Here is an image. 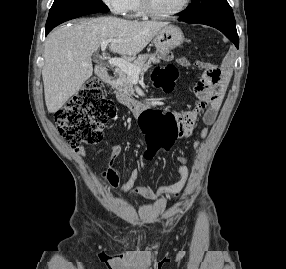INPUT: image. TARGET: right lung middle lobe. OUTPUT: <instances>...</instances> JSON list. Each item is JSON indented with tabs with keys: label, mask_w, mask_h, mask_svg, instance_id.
<instances>
[{
	"label": "right lung middle lobe",
	"mask_w": 286,
	"mask_h": 269,
	"mask_svg": "<svg viewBox=\"0 0 286 269\" xmlns=\"http://www.w3.org/2000/svg\"><path fill=\"white\" fill-rule=\"evenodd\" d=\"M105 11L109 9L102 0H54L45 29L83 15Z\"/></svg>",
	"instance_id": "dd1d6c3e"
}]
</instances>
